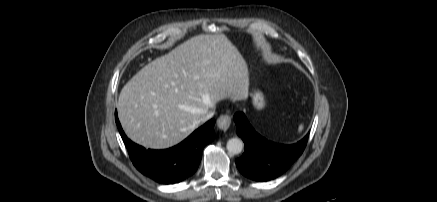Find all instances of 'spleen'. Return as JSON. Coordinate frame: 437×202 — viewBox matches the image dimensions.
Instances as JSON below:
<instances>
[{"mask_svg":"<svg viewBox=\"0 0 437 202\" xmlns=\"http://www.w3.org/2000/svg\"><path fill=\"white\" fill-rule=\"evenodd\" d=\"M303 130V125L301 124L300 126H299V131H302Z\"/></svg>","mask_w":437,"mask_h":202,"instance_id":"spleen-1","label":"spleen"}]
</instances>
